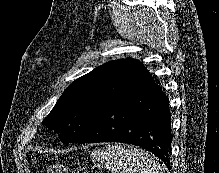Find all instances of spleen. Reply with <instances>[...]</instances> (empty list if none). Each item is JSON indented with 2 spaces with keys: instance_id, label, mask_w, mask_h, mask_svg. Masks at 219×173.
<instances>
[{
  "instance_id": "spleen-1",
  "label": "spleen",
  "mask_w": 219,
  "mask_h": 173,
  "mask_svg": "<svg viewBox=\"0 0 219 173\" xmlns=\"http://www.w3.org/2000/svg\"><path fill=\"white\" fill-rule=\"evenodd\" d=\"M98 166L112 173H164L161 164L147 152L136 147L107 145L92 154Z\"/></svg>"
}]
</instances>
